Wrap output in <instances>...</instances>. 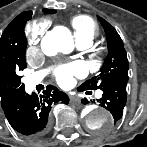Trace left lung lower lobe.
Returning <instances> with one entry per match:
<instances>
[{
    "label": "left lung lower lobe",
    "mask_w": 147,
    "mask_h": 147,
    "mask_svg": "<svg viewBox=\"0 0 147 147\" xmlns=\"http://www.w3.org/2000/svg\"><path fill=\"white\" fill-rule=\"evenodd\" d=\"M126 82H115L101 88L103 95L98 99L100 106L106 108L113 115V122L116 124L123 115V109L127 100ZM80 91H84L80 89ZM83 104H87V99H82Z\"/></svg>",
    "instance_id": "left-lung-lower-lobe-1"
}]
</instances>
